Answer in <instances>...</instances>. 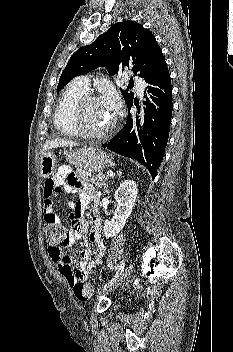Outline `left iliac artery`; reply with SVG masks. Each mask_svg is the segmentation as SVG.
<instances>
[{
	"instance_id": "obj_1",
	"label": "left iliac artery",
	"mask_w": 233,
	"mask_h": 352,
	"mask_svg": "<svg viewBox=\"0 0 233 352\" xmlns=\"http://www.w3.org/2000/svg\"><path fill=\"white\" fill-rule=\"evenodd\" d=\"M124 267H125V263L122 262V263L120 264V266H119V268H118V270H117L115 276L109 281L108 284H106V285L103 287L104 289H105L107 286L113 284V283L116 281V279L122 274V272H123V270H124Z\"/></svg>"
}]
</instances>
